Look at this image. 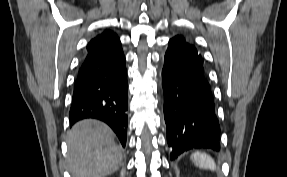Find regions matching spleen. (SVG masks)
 <instances>
[{"label": "spleen", "mask_w": 287, "mask_h": 177, "mask_svg": "<svg viewBox=\"0 0 287 177\" xmlns=\"http://www.w3.org/2000/svg\"><path fill=\"white\" fill-rule=\"evenodd\" d=\"M191 159L194 162V164L196 166H198L199 168L202 169H209L214 171L216 169V165L214 160L212 159L211 156H209L206 153H202V152H194L191 155Z\"/></svg>", "instance_id": "spleen-1"}]
</instances>
